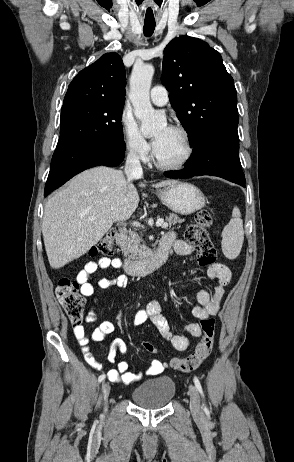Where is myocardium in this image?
<instances>
[{
  "instance_id": "1",
  "label": "myocardium",
  "mask_w": 294,
  "mask_h": 462,
  "mask_svg": "<svg viewBox=\"0 0 294 462\" xmlns=\"http://www.w3.org/2000/svg\"><path fill=\"white\" fill-rule=\"evenodd\" d=\"M170 128L177 131L178 133L182 135V137L184 138L185 144H186V152L183 158L180 159L179 161L173 162V163H165V162H162L158 158L156 154V150L154 149L153 151L154 163L158 168L162 170H178V169L185 167L190 162L191 158L193 157L194 150H195L192 136L185 127L181 125H171Z\"/></svg>"
}]
</instances>
